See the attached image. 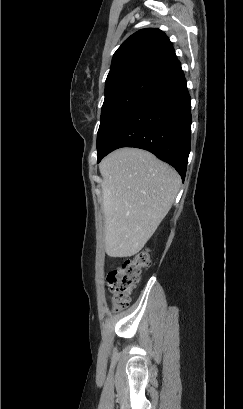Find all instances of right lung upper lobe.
Listing matches in <instances>:
<instances>
[{
	"mask_svg": "<svg viewBox=\"0 0 243 409\" xmlns=\"http://www.w3.org/2000/svg\"><path fill=\"white\" fill-rule=\"evenodd\" d=\"M180 65L169 38L159 29H142L131 35L112 58L105 89L111 84L136 76L162 80Z\"/></svg>",
	"mask_w": 243,
	"mask_h": 409,
	"instance_id": "right-lung-upper-lobe-1",
	"label": "right lung upper lobe"
}]
</instances>
